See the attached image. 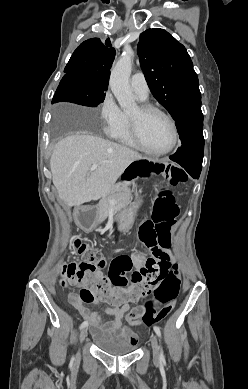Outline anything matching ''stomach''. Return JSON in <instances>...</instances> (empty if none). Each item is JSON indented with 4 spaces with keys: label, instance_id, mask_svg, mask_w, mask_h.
I'll list each match as a JSON object with an SVG mask.
<instances>
[{
    "label": "stomach",
    "instance_id": "obj_1",
    "mask_svg": "<svg viewBox=\"0 0 248 389\" xmlns=\"http://www.w3.org/2000/svg\"><path fill=\"white\" fill-rule=\"evenodd\" d=\"M141 201L142 200L140 199L138 201V204H140ZM89 212L90 213H84L83 218H84V220H90L89 224L91 226H94L97 224L96 220L98 218H100L101 220H106L107 218L109 220H112L113 218H115L116 220H119L118 224L120 226H119L118 233L120 235H127L128 234L129 226H131L133 224L132 220L135 218V215L137 214V211L134 209L133 205H130L129 207L119 208L118 209L119 213H116L115 215H113L112 213H109L108 215L106 213H101L100 215H98L96 213L97 209L94 207H91L89 209Z\"/></svg>",
    "mask_w": 248,
    "mask_h": 389
}]
</instances>
